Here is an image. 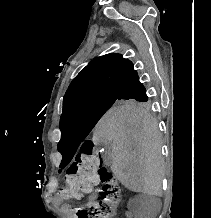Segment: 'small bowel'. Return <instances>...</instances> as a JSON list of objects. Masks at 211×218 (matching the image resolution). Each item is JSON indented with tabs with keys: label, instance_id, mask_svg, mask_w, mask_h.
I'll return each mask as SVG.
<instances>
[{
	"label": "small bowel",
	"instance_id": "c3829d8e",
	"mask_svg": "<svg viewBox=\"0 0 211 218\" xmlns=\"http://www.w3.org/2000/svg\"><path fill=\"white\" fill-rule=\"evenodd\" d=\"M97 194L94 192L90 195V200H95ZM54 203L60 205L65 211L72 212V207L65 203V196L63 190L58 191L54 196ZM128 218H131V213H127Z\"/></svg>",
	"mask_w": 211,
	"mask_h": 218
}]
</instances>
